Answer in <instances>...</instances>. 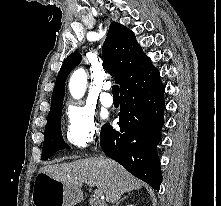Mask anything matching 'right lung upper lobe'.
I'll return each mask as SVG.
<instances>
[{"mask_svg": "<svg viewBox=\"0 0 221 206\" xmlns=\"http://www.w3.org/2000/svg\"><path fill=\"white\" fill-rule=\"evenodd\" d=\"M102 59L104 68L114 76L115 82L120 85V90L130 80L152 66L150 58L137 44L134 33L117 22L110 24L102 48ZM80 61L79 53H72L64 61L56 78L50 112L62 107L66 78Z\"/></svg>", "mask_w": 221, "mask_h": 206, "instance_id": "obj_1", "label": "right lung upper lobe"}]
</instances>
